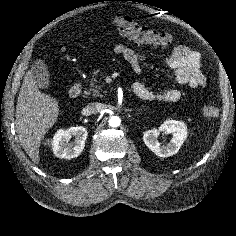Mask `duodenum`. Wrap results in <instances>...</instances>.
<instances>
[{"label": "duodenum", "mask_w": 236, "mask_h": 236, "mask_svg": "<svg viewBox=\"0 0 236 236\" xmlns=\"http://www.w3.org/2000/svg\"><path fill=\"white\" fill-rule=\"evenodd\" d=\"M83 91V86L81 82H76L72 85V87L69 90V95L71 98H78L81 96Z\"/></svg>", "instance_id": "duodenum-1"}]
</instances>
